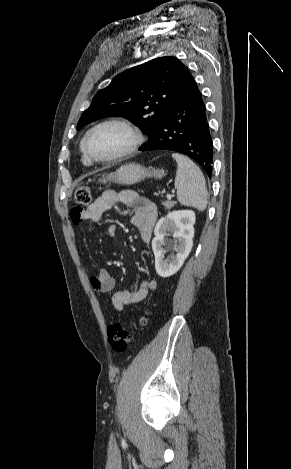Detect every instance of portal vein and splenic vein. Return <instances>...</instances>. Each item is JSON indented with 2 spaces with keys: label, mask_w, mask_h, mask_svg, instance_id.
<instances>
[{
  "label": "portal vein and splenic vein",
  "mask_w": 291,
  "mask_h": 469,
  "mask_svg": "<svg viewBox=\"0 0 291 469\" xmlns=\"http://www.w3.org/2000/svg\"><path fill=\"white\" fill-rule=\"evenodd\" d=\"M167 197H170V195H169V194H167Z\"/></svg>",
  "instance_id": "obj_1"
}]
</instances>
